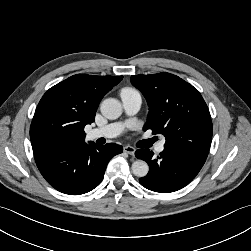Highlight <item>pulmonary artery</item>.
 I'll list each match as a JSON object with an SVG mask.
<instances>
[{
	"label": "pulmonary artery",
	"instance_id": "1",
	"mask_svg": "<svg viewBox=\"0 0 251 251\" xmlns=\"http://www.w3.org/2000/svg\"><path fill=\"white\" fill-rule=\"evenodd\" d=\"M122 104L127 115L132 116L136 114L142 104V97L138 92L133 93H121ZM126 123L116 122L108 124L101 128H95L87 133L89 139L97 138H113L118 136L125 128ZM165 147V139H162L156 145V151L162 152Z\"/></svg>",
	"mask_w": 251,
	"mask_h": 251
}]
</instances>
